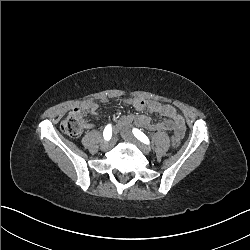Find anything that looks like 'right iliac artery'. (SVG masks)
Returning <instances> with one entry per match:
<instances>
[{
	"label": "right iliac artery",
	"instance_id": "obj_1",
	"mask_svg": "<svg viewBox=\"0 0 250 250\" xmlns=\"http://www.w3.org/2000/svg\"><path fill=\"white\" fill-rule=\"evenodd\" d=\"M103 137L105 140L109 141L112 137V127L111 125H107L103 131Z\"/></svg>",
	"mask_w": 250,
	"mask_h": 250
}]
</instances>
